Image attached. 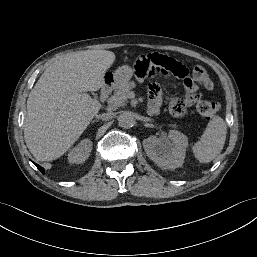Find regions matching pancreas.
<instances>
[{
	"mask_svg": "<svg viewBox=\"0 0 257 257\" xmlns=\"http://www.w3.org/2000/svg\"><path fill=\"white\" fill-rule=\"evenodd\" d=\"M135 87L134 82H125L121 84L118 90L108 99V110H116L125 106L128 94Z\"/></svg>",
	"mask_w": 257,
	"mask_h": 257,
	"instance_id": "obj_1",
	"label": "pancreas"
}]
</instances>
